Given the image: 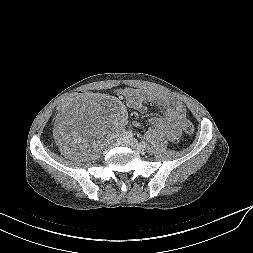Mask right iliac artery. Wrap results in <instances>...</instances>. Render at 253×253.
<instances>
[{"mask_svg":"<svg viewBox=\"0 0 253 253\" xmlns=\"http://www.w3.org/2000/svg\"><path fill=\"white\" fill-rule=\"evenodd\" d=\"M127 138H131L133 136L132 132L131 131H127L125 132L124 134Z\"/></svg>","mask_w":253,"mask_h":253,"instance_id":"82829eb1","label":"right iliac artery"}]
</instances>
